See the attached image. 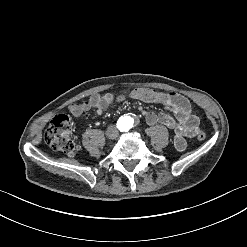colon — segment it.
Masks as SVG:
<instances>
[{
  "label": "colon",
  "mask_w": 247,
  "mask_h": 247,
  "mask_svg": "<svg viewBox=\"0 0 247 247\" xmlns=\"http://www.w3.org/2000/svg\"><path fill=\"white\" fill-rule=\"evenodd\" d=\"M158 94L156 89L150 92L149 88H136L134 95L139 98L140 101H152L154 96ZM72 126L67 116L60 114L57 115L48 124L44 132L45 143L54 151L72 155L77 152L78 144L71 135ZM205 133L200 130L197 134V138L203 140Z\"/></svg>",
  "instance_id": "colon-1"
}]
</instances>
